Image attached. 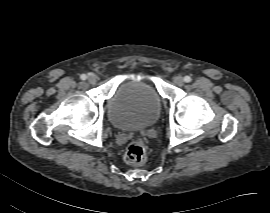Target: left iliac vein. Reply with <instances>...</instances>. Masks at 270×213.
I'll return each mask as SVG.
<instances>
[{"label": "left iliac vein", "instance_id": "left-iliac-vein-1", "mask_svg": "<svg viewBox=\"0 0 270 213\" xmlns=\"http://www.w3.org/2000/svg\"><path fill=\"white\" fill-rule=\"evenodd\" d=\"M173 82H174V84L177 85V86H182L183 83H184V79H183L182 76H175V77L173 78Z\"/></svg>", "mask_w": 270, "mask_h": 213}]
</instances>
